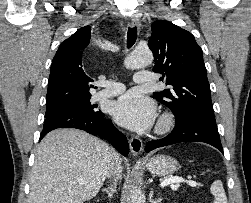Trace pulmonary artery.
I'll return each mask as SVG.
<instances>
[{
    "label": "pulmonary artery",
    "instance_id": "pulmonary-artery-1",
    "mask_svg": "<svg viewBox=\"0 0 251 203\" xmlns=\"http://www.w3.org/2000/svg\"><path fill=\"white\" fill-rule=\"evenodd\" d=\"M134 82L137 84L149 83L151 82V73L144 71L138 72L134 75ZM106 88L97 92L94 95V100H101L105 98H110L121 94L125 90L124 84L115 81L106 82Z\"/></svg>",
    "mask_w": 251,
    "mask_h": 203
}]
</instances>
